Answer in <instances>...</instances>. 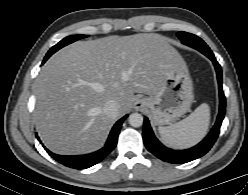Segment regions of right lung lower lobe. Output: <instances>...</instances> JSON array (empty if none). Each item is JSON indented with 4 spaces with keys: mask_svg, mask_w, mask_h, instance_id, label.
Listing matches in <instances>:
<instances>
[{
    "mask_svg": "<svg viewBox=\"0 0 248 195\" xmlns=\"http://www.w3.org/2000/svg\"><path fill=\"white\" fill-rule=\"evenodd\" d=\"M45 61H43L44 63ZM128 115L122 117L112 128L108 140L105 146L93 153L86 155H76V156H62L57 155L50 152L48 149L46 151L48 154L54 158L59 163L74 169H85L89 168L97 163H99L102 159H104L116 146L118 135L120 132V128L122 126L123 121L127 118Z\"/></svg>",
    "mask_w": 248,
    "mask_h": 195,
    "instance_id": "98d812e1",
    "label": "right lung lower lobe"
}]
</instances>
